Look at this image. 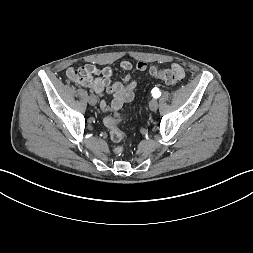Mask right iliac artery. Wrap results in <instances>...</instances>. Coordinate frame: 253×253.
<instances>
[{"instance_id": "obj_1", "label": "right iliac artery", "mask_w": 253, "mask_h": 253, "mask_svg": "<svg viewBox=\"0 0 253 253\" xmlns=\"http://www.w3.org/2000/svg\"><path fill=\"white\" fill-rule=\"evenodd\" d=\"M90 94L92 95L93 94V90H89Z\"/></svg>"}]
</instances>
